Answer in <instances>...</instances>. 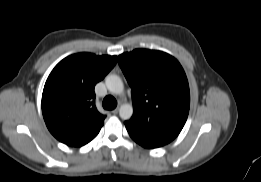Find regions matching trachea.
<instances>
[{
	"instance_id": "1",
	"label": "trachea",
	"mask_w": 261,
	"mask_h": 182,
	"mask_svg": "<svg viewBox=\"0 0 261 182\" xmlns=\"http://www.w3.org/2000/svg\"><path fill=\"white\" fill-rule=\"evenodd\" d=\"M103 107L107 110H112L117 106V101L113 96H106L103 100Z\"/></svg>"
}]
</instances>
